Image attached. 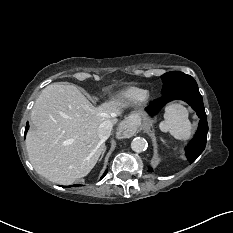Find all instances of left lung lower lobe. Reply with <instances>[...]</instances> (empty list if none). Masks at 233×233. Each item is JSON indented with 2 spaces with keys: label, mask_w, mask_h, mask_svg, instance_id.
Returning <instances> with one entry per match:
<instances>
[{
  "label": "left lung lower lobe",
  "mask_w": 233,
  "mask_h": 233,
  "mask_svg": "<svg viewBox=\"0 0 233 233\" xmlns=\"http://www.w3.org/2000/svg\"><path fill=\"white\" fill-rule=\"evenodd\" d=\"M174 99H181L187 102L196 111L198 117L200 118L196 134L185 149L187 159L190 163H193L205 149L208 132L207 117L198 86L191 84L175 88L150 104L146 108V111L150 115H154L159 112L166 103ZM148 171L152 172L153 170L149 167Z\"/></svg>",
  "instance_id": "left-lung-lower-lobe-1"
}]
</instances>
